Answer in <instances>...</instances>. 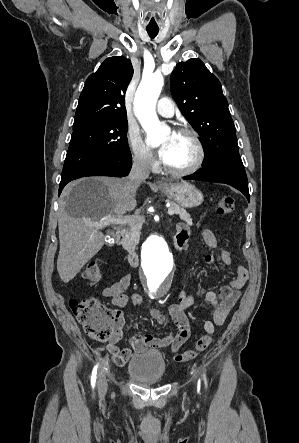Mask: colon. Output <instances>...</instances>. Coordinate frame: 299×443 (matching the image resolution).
Wrapping results in <instances>:
<instances>
[{
  "instance_id": "5ec220e1",
  "label": "colon",
  "mask_w": 299,
  "mask_h": 443,
  "mask_svg": "<svg viewBox=\"0 0 299 443\" xmlns=\"http://www.w3.org/2000/svg\"><path fill=\"white\" fill-rule=\"evenodd\" d=\"M217 213L225 216L234 211V199L230 195H223L217 204ZM83 279L90 284L96 285L103 279V273L97 261H90L84 268ZM69 307L81 324L85 334L91 339L105 343L113 339L114 325L117 315L113 310L104 306L98 299L86 297L72 299ZM212 343L211 335H204L196 342L195 348L178 354L174 360L178 363L193 360L205 351Z\"/></svg>"
}]
</instances>
